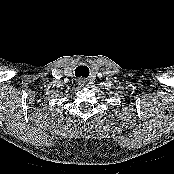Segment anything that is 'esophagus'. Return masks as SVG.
<instances>
[{
  "mask_svg": "<svg viewBox=\"0 0 174 174\" xmlns=\"http://www.w3.org/2000/svg\"><path fill=\"white\" fill-rule=\"evenodd\" d=\"M86 84H87V80H86V79L80 78V79L78 80V85H79L80 87H84Z\"/></svg>",
  "mask_w": 174,
  "mask_h": 174,
  "instance_id": "1",
  "label": "esophagus"
}]
</instances>
